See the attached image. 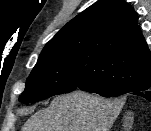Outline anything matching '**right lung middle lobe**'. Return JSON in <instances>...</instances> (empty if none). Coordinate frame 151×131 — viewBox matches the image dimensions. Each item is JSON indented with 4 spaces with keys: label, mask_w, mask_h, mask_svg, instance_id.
Listing matches in <instances>:
<instances>
[{
    "label": "right lung middle lobe",
    "mask_w": 151,
    "mask_h": 131,
    "mask_svg": "<svg viewBox=\"0 0 151 131\" xmlns=\"http://www.w3.org/2000/svg\"><path fill=\"white\" fill-rule=\"evenodd\" d=\"M80 78L91 81L93 85L106 86L97 70L95 59L74 44L62 42L45 48L26 81L19 101L34 103L57 94L72 92L77 89Z\"/></svg>",
    "instance_id": "dd1d6c3e"
}]
</instances>
